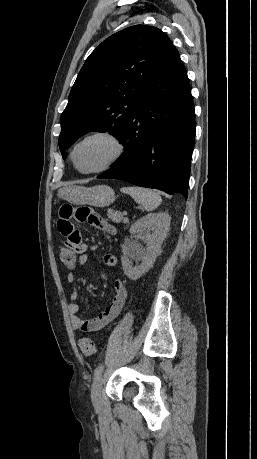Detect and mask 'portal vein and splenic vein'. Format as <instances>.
Here are the masks:
<instances>
[{
	"label": "portal vein and splenic vein",
	"mask_w": 257,
	"mask_h": 459,
	"mask_svg": "<svg viewBox=\"0 0 257 459\" xmlns=\"http://www.w3.org/2000/svg\"><path fill=\"white\" fill-rule=\"evenodd\" d=\"M124 215H126V213H124ZM125 223L128 222V218H124L123 220Z\"/></svg>",
	"instance_id": "portal-vein-and-splenic-vein-1"
}]
</instances>
